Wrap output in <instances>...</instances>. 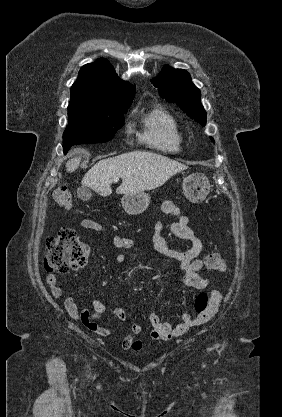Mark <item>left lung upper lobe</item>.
Instances as JSON below:
<instances>
[{"label": "left lung upper lobe", "instance_id": "left-lung-upper-lobe-1", "mask_svg": "<svg viewBox=\"0 0 282 417\" xmlns=\"http://www.w3.org/2000/svg\"><path fill=\"white\" fill-rule=\"evenodd\" d=\"M152 83L158 88L161 97L176 103L202 126L206 124V112L200 101L201 92L192 83L187 71L166 66ZM211 140L214 142L213 138Z\"/></svg>", "mask_w": 282, "mask_h": 417}]
</instances>
